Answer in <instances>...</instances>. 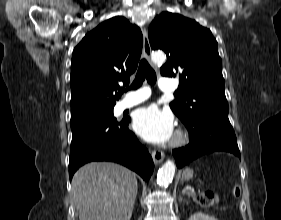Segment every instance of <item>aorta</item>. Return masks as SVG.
Instances as JSON below:
<instances>
[{
  "mask_svg": "<svg viewBox=\"0 0 281 220\" xmlns=\"http://www.w3.org/2000/svg\"><path fill=\"white\" fill-rule=\"evenodd\" d=\"M151 60L154 63L162 64L166 60V55L163 52H154L151 55ZM176 166L173 161H166L157 174V183L159 186H168L172 182L175 174Z\"/></svg>",
  "mask_w": 281,
  "mask_h": 220,
  "instance_id": "obj_1",
  "label": "aorta"
}]
</instances>
